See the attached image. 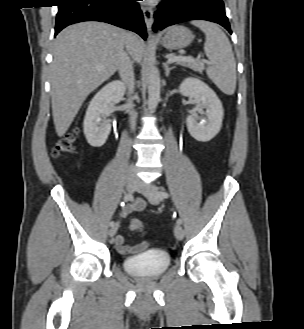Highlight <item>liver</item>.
Instances as JSON below:
<instances>
[{"label":"liver","mask_w":304,"mask_h":329,"mask_svg":"<svg viewBox=\"0 0 304 329\" xmlns=\"http://www.w3.org/2000/svg\"><path fill=\"white\" fill-rule=\"evenodd\" d=\"M139 63L144 43L132 33L101 22H81L63 29L53 43L52 115L62 137L86 97L118 69L124 46Z\"/></svg>","instance_id":"1"}]
</instances>
